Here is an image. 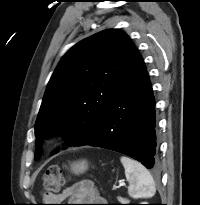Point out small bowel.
<instances>
[{
  "label": "small bowel",
  "instance_id": "small-bowel-1",
  "mask_svg": "<svg viewBox=\"0 0 200 205\" xmlns=\"http://www.w3.org/2000/svg\"><path fill=\"white\" fill-rule=\"evenodd\" d=\"M46 205H60L65 200L71 202L82 203H103L104 199L95 190L94 184L91 181H81L67 187L59 194L49 195L45 197ZM73 205H106V204H73Z\"/></svg>",
  "mask_w": 200,
  "mask_h": 205
}]
</instances>
